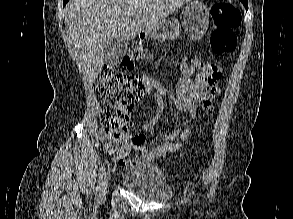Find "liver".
<instances>
[{
	"instance_id": "liver-1",
	"label": "liver",
	"mask_w": 293,
	"mask_h": 219,
	"mask_svg": "<svg viewBox=\"0 0 293 219\" xmlns=\"http://www.w3.org/2000/svg\"><path fill=\"white\" fill-rule=\"evenodd\" d=\"M190 0H70L65 25L73 56L89 82L97 79L108 45L133 40L145 27L168 17Z\"/></svg>"
}]
</instances>
